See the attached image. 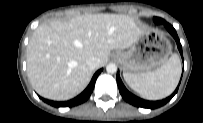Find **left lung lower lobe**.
Listing matches in <instances>:
<instances>
[{"instance_id":"left-lung-lower-lobe-1","label":"left lung lower lobe","mask_w":203,"mask_h":123,"mask_svg":"<svg viewBox=\"0 0 203 123\" xmlns=\"http://www.w3.org/2000/svg\"><path fill=\"white\" fill-rule=\"evenodd\" d=\"M159 20L161 21V23H159V24H164V26L169 31V33L176 40L177 47L182 56V46H181L180 40L178 38V35L176 33V30L165 20H163V19H159ZM182 58H183V56H182ZM117 83H118L119 91L125 101H127L128 103H130L134 106L142 107V108H149V109H155V108L165 105L168 101H170L172 99V97L178 91V87H177L176 90L173 92V94L170 95L169 97H167L166 99L159 100V101H147V100L140 99V98L136 97L135 95L131 94L123 85V83L119 77V73L117 74Z\"/></svg>"}]
</instances>
